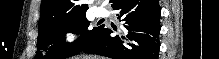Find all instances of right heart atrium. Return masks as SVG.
Instances as JSON below:
<instances>
[{
	"label": "right heart atrium",
	"instance_id": "d8ad5b80",
	"mask_svg": "<svg viewBox=\"0 0 219 59\" xmlns=\"http://www.w3.org/2000/svg\"><path fill=\"white\" fill-rule=\"evenodd\" d=\"M64 39L67 43H72L75 41L76 36L73 33L68 32L65 34Z\"/></svg>",
	"mask_w": 219,
	"mask_h": 59
}]
</instances>
